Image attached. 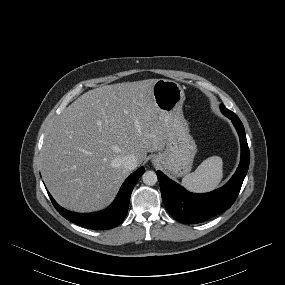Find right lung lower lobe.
Masks as SVG:
<instances>
[{
	"instance_id": "obj_1",
	"label": "right lung lower lobe",
	"mask_w": 285,
	"mask_h": 285,
	"mask_svg": "<svg viewBox=\"0 0 285 285\" xmlns=\"http://www.w3.org/2000/svg\"><path fill=\"white\" fill-rule=\"evenodd\" d=\"M144 171L145 169L141 167L132 173L122 184L114 202L100 212L88 214L73 213L59 206L49 192L48 195L56 210L67 220L90 229H110L124 220L128 211L132 190Z\"/></svg>"
}]
</instances>
